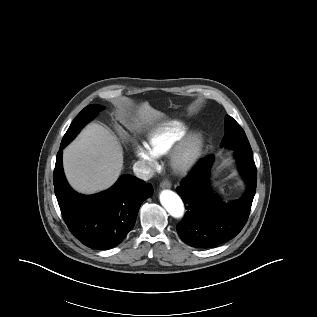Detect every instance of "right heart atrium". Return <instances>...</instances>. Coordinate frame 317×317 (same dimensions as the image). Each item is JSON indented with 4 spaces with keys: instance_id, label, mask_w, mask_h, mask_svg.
<instances>
[{
    "instance_id": "obj_1",
    "label": "right heart atrium",
    "mask_w": 317,
    "mask_h": 317,
    "mask_svg": "<svg viewBox=\"0 0 317 317\" xmlns=\"http://www.w3.org/2000/svg\"><path fill=\"white\" fill-rule=\"evenodd\" d=\"M135 156L146 167L154 168L157 165V156L146 145H137L135 147Z\"/></svg>"
}]
</instances>
